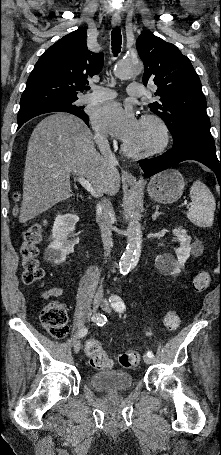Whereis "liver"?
<instances>
[{"label":"liver","mask_w":221,"mask_h":455,"mask_svg":"<svg viewBox=\"0 0 221 455\" xmlns=\"http://www.w3.org/2000/svg\"><path fill=\"white\" fill-rule=\"evenodd\" d=\"M86 178L95 194L115 195L120 174L95 149L85 123L68 113L40 121L28 142L19 222L25 223L71 196L70 175Z\"/></svg>","instance_id":"obj_1"}]
</instances>
